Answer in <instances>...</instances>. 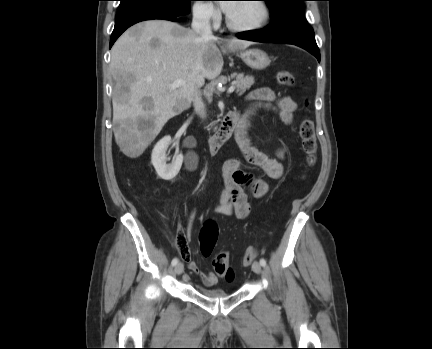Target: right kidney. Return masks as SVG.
Masks as SVG:
<instances>
[{"label": "right kidney", "instance_id": "obj_1", "mask_svg": "<svg viewBox=\"0 0 432 349\" xmlns=\"http://www.w3.org/2000/svg\"><path fill=\"white\" fill-rule=\"evenodd\" d=\"M171 143V137L165 136L155 145L152 155L151 163L154 166L157 175L163 180H172L179 173L182 163L183 155L178 154L170 164H167L166 151Z\"/></svg>", "mask_w": 432, "mask_h": 349}]
</instances>
